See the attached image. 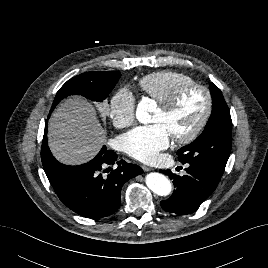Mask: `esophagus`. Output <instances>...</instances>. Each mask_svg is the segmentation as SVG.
Returning <instances> with one entry per match:
<instances>
[{"label":"esophagus","mask_w":268,"mask_h":268,"mask_svg":"<svg viewBox=\"0 0 268 268\" xmlns=\"http://www.w3.org/2000/svg\"><path fill=\"white\" fill-rule=\"evenodd\" d=\"M142 168H143V170H144L145 172H148V171H152V170H153V168H151V167H149V166H146V165H143Z\"/></svg>","instance_id":"esophagus-1"}]
</instances>
